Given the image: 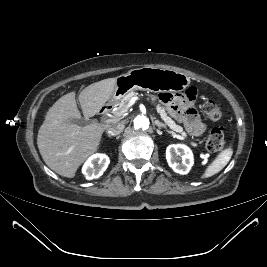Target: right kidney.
<instances>
[{"instance_id": "ca27d5eb", "label": "right kidney", "mask_w": 267, "mask_h": 267, "mask_svg": "<svg viewBox=\"0 0 267 267\" xmlns=\"http://www.w3.org/2000/svg\"><path fill=\"white\" fill-rule=\"evenodd\" d=\"M110 163L109 157L105 154H94L83 165L82 173L87 180L99 178L107 169Z\"/></svg>"}]
</instances>
